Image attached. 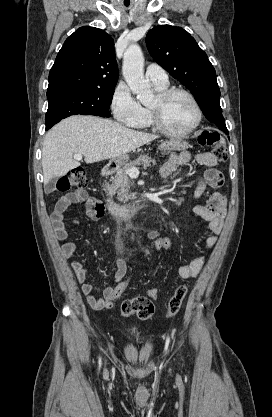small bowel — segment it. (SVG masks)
Masks as SVG:
<instances>
[{
  "instance_id": "small-bowel-1",
  "label": "small bowel",
  "mask_w": 272,
  "mask_h": 417,
  "mask_svg": "<svg viewBox=\"0 0 272 417\" xmlns=\"http://www.w3.org/2000/svg\"><path fill=\"white\" fill-rule=\"evenodd\" d=\"M191 162H196L208 167L203 177L196 178L195 197L202 198L207 187L218 189L223 185L224 179L219 170L215 168L217 159L211 152L196 153L184 151L172 155L160 168V176L163 179L169 178L179 167L186 166ZM83 204L86 208L87 215L93 220H99L104 216L103 203L96 197L90 195L85 189L78 188L74 191L63 195L55 205L52 212V222L54 225L55 236L59 241L68 238V229L65 223V213L69 207L73 205ZM225 197L220 193H213L205 204L197 205L194 213L208 223L211 235L207 236L204 244L207 248H213L218 240V235L223 228L226 216ZM76 224V222H74ZM159 233L151 231L147 233L148 239L158 237ZM78 246L73 242H66L61 246V255L65 259H69L76 254ZM205 264L204 257H198L190 262L183 263L178 268V274L181 278L188 279L196 277ZM70 268L74 273L76 281L80 285V290L86 296L89 306L96 311H100L105 307L106 301L112 298V294L116 285H118L127 274V266L122 258L116 259V271L114 274V284L104 288L102 296L93 295L95 286L87 283L86 279L89 270L86 266L78 261L70 263Z\"/></svg>"
}]
</instances>
